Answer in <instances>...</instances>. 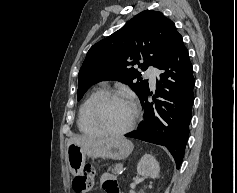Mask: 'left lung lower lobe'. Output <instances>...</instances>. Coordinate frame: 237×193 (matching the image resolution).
<instances>
[{"mask_svg":"<svg viewBox=\"0 0 237 193\" xmlns=\"http://www.w3.org/2000/svg\"><path fill=\"white\" fill-rule=\"evenodd\" d=\"M161 70L156 82V97L148 102V91L142 97L145 110L139 128L126 137L167 147L179 168L189 136L194 102L195 80L188 50L181 38L157 67Z\"/></svg>","mask_w":237,"mask_h":193,"instance_id":"1","label":"left lung lower lobe"}]
</instances>
